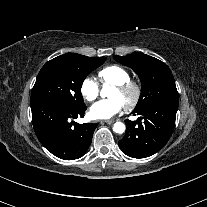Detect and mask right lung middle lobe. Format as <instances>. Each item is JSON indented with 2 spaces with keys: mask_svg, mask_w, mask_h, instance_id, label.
<instances>
[{
  "mask_svg": "<svg viewBox=\"0 0 207 207\" xmlns=\"http://www.w3.org/2000/svg\"><path fill=\"white\" fill-rule=\"evenodd\" d=\"M105 60L106 57L90 58L67 53L48 61L37 76L31 101L50 98L72 107L84 106L80 92L82 83Z\"/></svg>",
  "mask_w": 207,
  "mask_h": 207,
  "instance_id": "right-lung-middle-lobe-1",
  "label": "right lung middle lobe"
}]
</instances>
